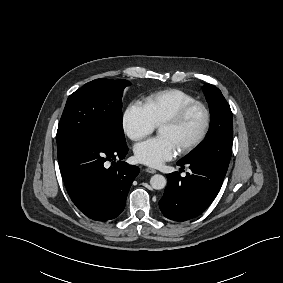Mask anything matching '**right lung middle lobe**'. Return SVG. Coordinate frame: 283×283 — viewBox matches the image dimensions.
I'll return each instance as SVG.
<instances>
[{
	"instance_id": "1",
	"label": "right lung middle lobe",
	"mask_w": 283,
	"mask_h": 283,
	"mask_svg": "<svg viewBox=\"0 0 283 283\" xmlns=\"http://www.w3.org/2000/svg\"><path fill=\"white\" fill-rule=\"evenodd\" d=\"M129 85L126 80L96 79L72 93L58 125L57 150L86 135L126 143L122 92Z\"/></svg>"
}]
</instances>
